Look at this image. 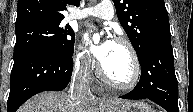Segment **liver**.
<instances>
[{"label":"liver","mask_w":193,"mask_h":112,"mask_svg":"<svg viewBox=\"0 0 193 112\" xmlns=\"http://www.w3.org/2000/svg\"><path fill=\"white\" fill-rule=\"evenodd\" d=\"M109 101L126 102L122 99ZM104 103L92 94L83 95L77 100L71 98L69 92L46 91L25 102L18 112H102L105 110Z\"/></svg>","instance_id":"6515ba94"}]
</instances>
